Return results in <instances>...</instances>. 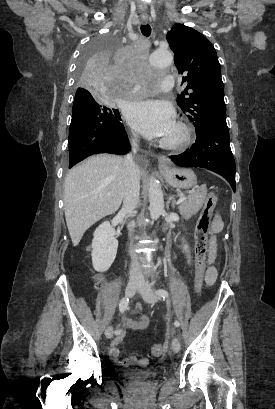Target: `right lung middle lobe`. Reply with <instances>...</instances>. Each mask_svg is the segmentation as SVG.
I'll list each match as a JSON object with an SVG mask.
<instances>
[{"instance_id":"right-lung-middle-lobe-1","label":"right lung middle lobe","mask_w":275,"mask_h":409,"mask_svg":"<svg viewBox=\"0 0 275 409\" xmlns=\"http://www.w3.org/2000/svg\"><path fill=\"white\" fill-rule=\"evenodd\" d=\"M121 37L114 31L94 36L87 50L78 59L76 79L78 90L74 99L69 129L68 164L63 166L62 178L72 173L74 165L97 153L126 154L130 144L118 110L123 96H107L105 91H128V82H120L119 70H114ZM134 169H147V160H134Z\"/></svg>"}]
</instances>
